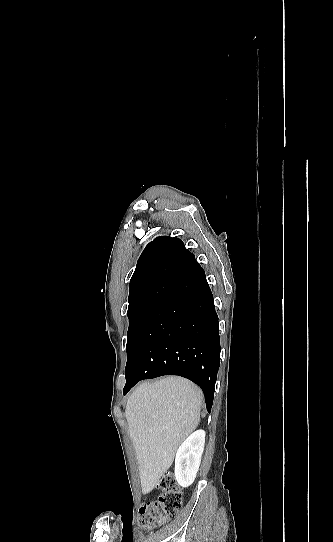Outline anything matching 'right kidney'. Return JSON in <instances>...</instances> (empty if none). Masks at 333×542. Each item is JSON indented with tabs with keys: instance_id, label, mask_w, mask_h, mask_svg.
<instances>
[{
	"instance_id": "obj_1",
	"label": "right kidney",
	"mask_w": 333,
	"mask_h": 542,
	"mask_svg": "<svg viewBox=\"0 0 333 542\" xmlns=\"http://www.w3.org/2000/svg\"><path fill=\"white\" fill-rule=\"evenodd\" d=\"M205 444L204 430H196L179 446L175 456V478L181 488L193 484L199 470Z\"/></svg>"
}]
</instances>
